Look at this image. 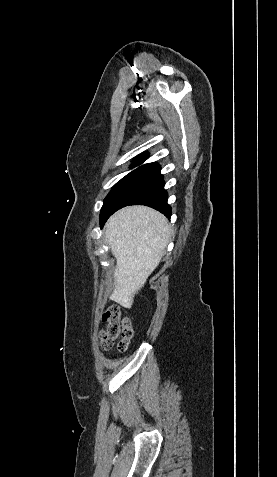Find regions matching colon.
Returning <instances> with one entry per match:
<instances>
[{"instance_id": "5ec220e1", "label": "colon", "mask_w": 277, "mask_h": 477, "mask_svg": "<svg viewBox=\"0 0 277 477\" xmlns=\"http://www.w3.org/2000/svg\"><path fill=\"white\" fill-rule=\"evenodd\" d=\"M102 321L107 323V327L101 331V345L104 349H110L116 339H119L117 348L120 352L127 350L134 330L131 320L128 317H122V308L118 305H112L102 315Z\"/></svg>"}]
</instances>
